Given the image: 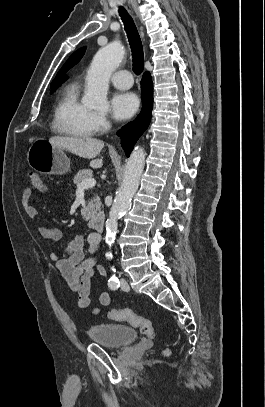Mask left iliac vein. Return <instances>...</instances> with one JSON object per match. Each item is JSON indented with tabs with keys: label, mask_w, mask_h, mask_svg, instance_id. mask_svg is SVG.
I'll return each instance as SVG.
<instances>
[{
	"label": "left iliac vein",
	"mask_w": 265,
	"mask_h": 407,
	"mask_svg": "<svg viewBox=\"0 0 265 407\" xmlns=\"http://www.w3.org/2000/svg\"><path fill=\"white\" fill-rule=\"evenodd\" d=\"M121 289L123 291H128L129 290V285H128L127 281L124 280V279L121 280Z\"/></svg>",
	"instance_id": "obj_1"
}]
</instances>
